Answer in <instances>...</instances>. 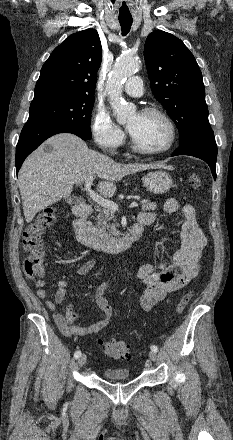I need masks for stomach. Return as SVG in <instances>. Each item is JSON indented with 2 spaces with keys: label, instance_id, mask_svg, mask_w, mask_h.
Masks as SVG:
<instances>
[{
  "label": "stomach",
  "instance_id": "obj_1",
  "mask_svg": "<svg viewBox=\"0 0 233 440\" xmlns=\"http://www.w3.org/2000/svg\"><path fill=\"white\" fill-rule=\"evenodd\" d=\"M143 184L151 193L164 194L173 186V179L166 171L158 170L146 174Z\"/></svg>",
  "mask_w": 233,
  "mask_h": 440
}]
</instances>
